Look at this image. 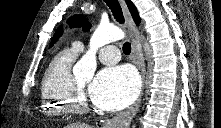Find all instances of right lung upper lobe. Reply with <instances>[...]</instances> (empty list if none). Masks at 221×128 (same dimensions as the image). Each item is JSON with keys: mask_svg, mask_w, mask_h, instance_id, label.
I'll return each mask as SVG.
<instances>
[{"mask_svg": "<svg viewBox=\"0 0 221 128\" xmlns=\"http://www.w3.org/2000/svg\"><path fill=\"white\" fill-rule=\"evenodd\" d=\"M126 3L128 5V8L130 10V13H131L135 23L138 25L140 23V17L137 13L135 6L133 5V3L130 0H126ZM60 35H61V31H58L56 33V35L54 36L50 46H52V44L57 41V39H58V37H60Z\"/></svg>", "mask_w": 221, "mask_h": 128, "instance_id": "cb5924a9", "label": "right lung upper lobe"}]
</instances>
